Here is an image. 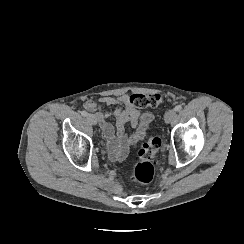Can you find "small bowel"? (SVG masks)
<instances>
[{
    "label": "small bowel",
    "instance_id": "small-bowel-1",
    "mask_svg": "<svg viewBox=\"0 0 244 244\" xmlns=\"http://www.w3.org/2000/svg\"><path fill=\"white\" fill-rule=\"evenodd\" d=\"M86 111L91 113L99 124L108 144L113 151V157L120 159L124 157L131 145L138 143L146 135L154 116L151 113L142 112L132 105L131 96L122 94L116 97L105 96L98 100H86L83 104ZM115 107L113 115L115 123L109 120L110 112L103 107ZM133 128L132 134L126 133V125Z\"/></svg>",
    "mask_w": 244,
    "mask_h": 244
}]
</instances>
